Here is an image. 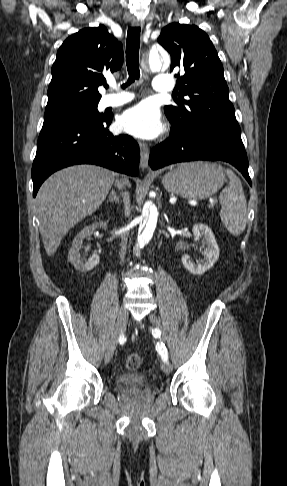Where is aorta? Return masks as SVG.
I'll return each instance as SVG.
<instances>
[{
    "instance_id": "aorta-1",
    "label": "aorta",
    "mask_w": 287,
    "mask_h": 486,
    "mask_svg": "<svg viewBox=\"0 0 287 486\" xmlns=\"http://www.w3.org/2000/svg\"><path fill=\"white\" fill-rule=\"evenodd\" d=\"M170 58L168 55L161 56L157 52L150 53L148 64L152 71H158L168 66ZM141 223L137 236V247H144L153 237L158 220V210L154 204H145L140 216Z\"/></svg>"
}]
</instances>
